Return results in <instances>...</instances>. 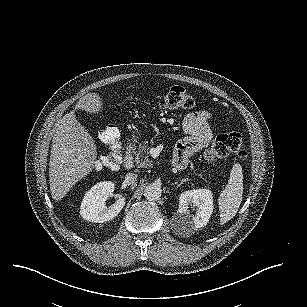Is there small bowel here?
Wrapping results in <instances>:
<instances>
[{
  "mask_svg": "<svg viewBox=\"0 0 307 307\" xmlns=\"http://www.w3.org/2000/svg\"><path fill=\"white\" fill-rule=\"evenodd\" d=\"M209 118L210 114L207 111H194L184 118L183 127L188 136L176 145L173 161L177 168H184L189 158L204 149L211 141Z\"/></svg>",
  "mask_w": 307,
  "mask_h": 307,
  "instance_id": "c3829d8e",
  "label": "small bowel"
}]
</instances>
